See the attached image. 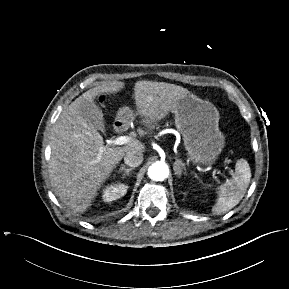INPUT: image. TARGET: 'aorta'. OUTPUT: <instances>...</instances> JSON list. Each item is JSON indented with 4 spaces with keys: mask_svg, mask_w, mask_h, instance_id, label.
I'll list each match as a JSON object with an SVG mask.
<instances>
[{
    "mask_svg": "<svg viewBox=\"0 0 289 289\" xmlns=\"http://www.w3.org/2000/svg\"><path fill=\"white\" fill-rule=\"evenodd\" d=\"M147 174L153 181H163L169 175V168L165 162L157 161L148 168Z\"/></svg>",
    "mask_w": 289,
    "mask_h": 289,
    "instance_id": "aorta-1",
    "label": "aorta"
}]
</instances>
